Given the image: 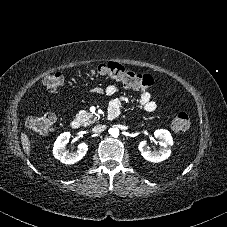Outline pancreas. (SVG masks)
<instances>
[{
  "instance_id": "obj_1",
  "label": "pancreas",
  "mask_w": 227,
  "mask_h": 227,
  "mask_svg": "<svg viewBox=\"0 0 227 227\" xmlns=\"http://www.w3.org/2000/svg\"><path fill=\"white\" fill-rule=\"evenodd\" d=\"M76 117L82 122L84 126L93 124L97 120V117L93 116V114L85 110L79 111Z\"/></svg>"
}]
</instances>
